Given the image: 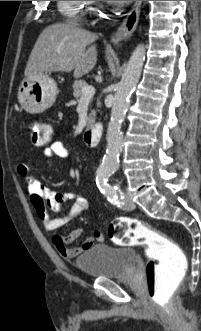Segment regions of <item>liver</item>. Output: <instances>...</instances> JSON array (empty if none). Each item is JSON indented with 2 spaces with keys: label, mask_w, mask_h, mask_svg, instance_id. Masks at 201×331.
I'll return each mask as SVG.
<instances>
[{
  "label": "liver",
  "mask_w": 201,
  "mask_h": 331,
  "mask_svg": "<svg viewBox=\"0 0 201 331\" xmlns=\"http://www.w3.org/2000/svg\"><path fill=\"white\" fill-rule=\"evenodd\" d=\"M97 35L72 22L46 27L39 35L29 56L24 75L37 78L51 72H71L80 77L90 72L97 62Z\"/></svg>",
  "instance_id": "liver-1"
}]
</instances>
